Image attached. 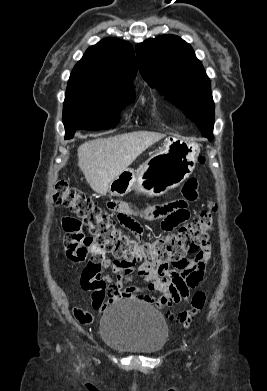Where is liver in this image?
Here are the masks:
<instances>
[{"instance_id":"liver-1","label":"liver","mask_w":267,"mask_h":391,"mask_svg":"<svg viewBox=\"0 0 267 391\" xmlns=\"http://www.w3.org/2000/svg\"><path fill=\"white\" fill-rule=\"evenodd\" d=\"M164 137L157 132L135 131L88 141L78 148V166L90 187L106 194L109 184L121 172Z\"/></svg>"}]
</instances>
